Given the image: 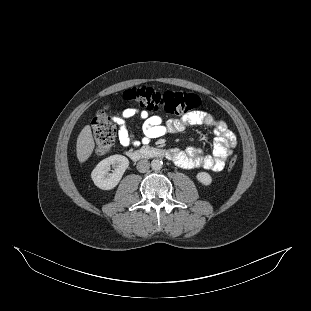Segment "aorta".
<instances>
[{
  "mask_svg": "<svg viewBox=\"0 0 311 311\" xmlns=\"http://www.w3.org/2000/svg\"><path fill=\"white\" fill-rule=\"evenodd\" d=\"M151 167H152L153 170H156V171L160 170L163 167L162 160H160V159H153L151 161Z\"/></svg>",
  "mask_w": 311,
  "mask_h": 311,
  "instance_id": "aorta-1",
  "label": "aorta"
}]
</instances>
